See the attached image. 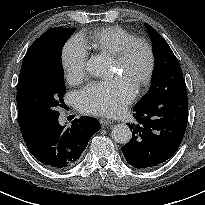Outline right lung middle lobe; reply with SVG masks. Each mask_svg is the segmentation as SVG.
<instances>
[{
  "instance_id": "dd1d6c3e",
  "label": "right lung middle lobe",
  "mask_w": 205,
  "mask_h": 205,
  "mask_svg": "<svg viewBox=\"0 0 205 205\" xmlns=\"http://www.w3.org/2000/svg\"><path fill=\"white\" fill-rule=\"evenodd\" d=\"M75 28H55L35 51L18 81L17 95L23 107L40 124L59 115L66 91L61 52Z\"/></svg>"
}]
</instances>
